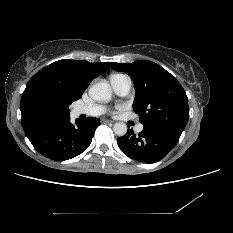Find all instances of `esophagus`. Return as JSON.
I'll list each match as a JSON object with an SVG mask.
<instances>
[{"label": "esophagus", "mask_w": 233, "mask_h": 233, "mask_svg": "<svg viewBox=\"0 0 233 233\" xmlns=\"http://www.w3.org/2000/svg\"><path fill=\"white\" fill-rule=\"evenodd\" d=\"M104 123H111V124H113L114 121H111V120H104Z\"/></svg>", "instance_id": "1"}]
</instances>
